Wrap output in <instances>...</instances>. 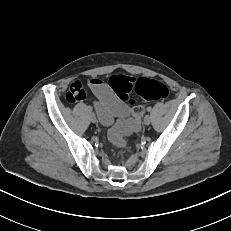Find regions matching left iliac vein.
<instances>
[{
  "label": "left iliac vein",
  "mask_w": 231,
  "mask_h": 231,
  "mask_svg": "<svg viewBox=\"0 0 231 231\" xmlns=\"http://www.w3.org/2000/svg\"><path fill=\"white\" fill-rule=\"evenodd\" d=\"M143 123L145 125H149L151 123V116L149 114H147L144 119H143Z\"/></svg>",
  "instance_id": "left-iliac-vein-1"
}]
</instances>
